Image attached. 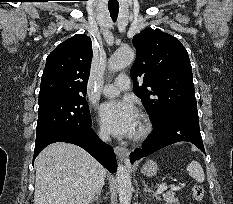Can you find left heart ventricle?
<instances>
[{"mask_svg":"<svg viewBox=\"0 0 233 204\" xmlns=\"http://www.w3.org/2000/svg\"><path fill=\"white\" fill-rule=\"evenodd\" d=\"M139 126H140V120H139V117H137L136 122H135V126H134L133 134L138 131Z\"/></svg>","mask_w":233,"mask_h":204,"instance_id":"obj_1","label":"left heart ventricle"}]
</instances>
